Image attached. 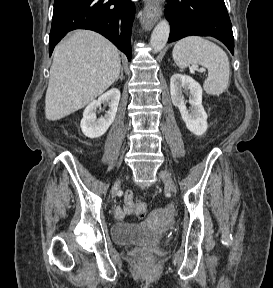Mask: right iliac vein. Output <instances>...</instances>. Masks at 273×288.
<instances>
[{
	"instance_id": "1",
	"label": "right iliac vein",
	"mask_w": 273,
	"mask_h": 288,
	"mask_svg": "<svg viewBox=\"0 0 273 288\" xmlns=\"http://www.w3.org/2000/svg\"><path fill=\"white\" fill-rule=\"evenodd\" d=\"M119 181H117L115 184H114V187H113V191L117 190L118 187H119Z\"/></svg>"
}]
</instances>
